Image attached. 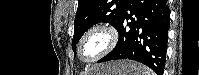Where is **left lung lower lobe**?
Here are the masks:
<instances>
[{
    "label": "left lung lower lobe",
    "instance_id": "0a47b994",
    "mask_svg": "<svg viewBox=\"0 0 199 75\" xmlns=\"http://www.w3.org/2000/svg\"><path fill=\"white\" fill-rule=\"evenodd\" d=\"M169 26L166 0H129L116 28V47L98 62L131 59L163 75Z\"/></svg>",
    "mask_w": 199,
    "mask_h": 75
}]
</instances>
